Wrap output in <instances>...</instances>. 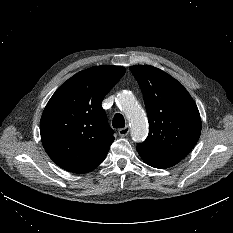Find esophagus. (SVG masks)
<instances>
[{
	"mask_svg": "<svg viewBox=\"0 0 233 233\" xmlns=\"http://www.w3.org/2000/svg\"><path fill=\"white\" fill-rule=\"evenodd\" d=\"M129 131H130L129 126H126L124 128L119 129L118 133L121 137H125L128 135Z\"/></svg>",
	"mask_w": 233,
	"mask_h": 233,
	"instance_id": "34e87169",
	"label": "esophagus"
}]
</instances>
